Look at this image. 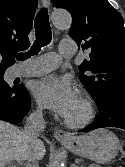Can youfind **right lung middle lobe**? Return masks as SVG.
Returning <instances> with one entry per match:
<instances>
[{"instance_id": "1", "label": "right lung middle lobe", "mask_w": 125, "mask_h": 167, "mask_svg": "<svg viewBox=\"0 0 125 167\" xmlns=\"http://www.w3.org/2000/svg\"><path fill=\"white\" fill-rule=\"evenodd\" d=\"M4 72H0V86L10 89L11 87L3 79Z\"/></svg>"}]
</instances>
